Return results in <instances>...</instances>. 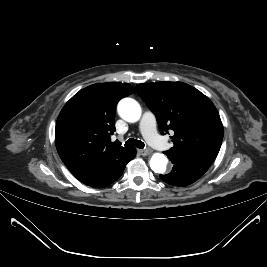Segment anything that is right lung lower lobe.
<instances>
[{"instance_id": "1", "label": "right lung lower lobe", "mask_w": 267, "mask_h": 267, "mask_svg": "<svg viewBox=\"0 0 267 267\" xmlns=\"http://www.w3.org/2000/svg\"><path fill=\"white\" fill-rule=\"evenodd\" d=\"M136 156V150L133 148L130 155L125 159L118 162V164L114 165L110 169H108L104 174H102L97 179L93 180L91 183L87 184L91 187L99 188L104 187L112 182L116 181L122 175L127 163L131 161Z\"/></svg>"}]
</instances>
